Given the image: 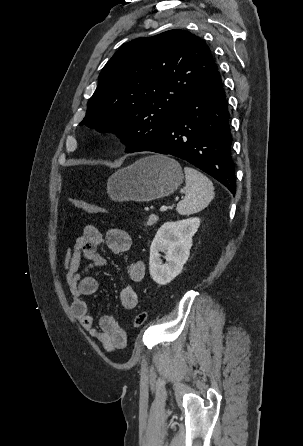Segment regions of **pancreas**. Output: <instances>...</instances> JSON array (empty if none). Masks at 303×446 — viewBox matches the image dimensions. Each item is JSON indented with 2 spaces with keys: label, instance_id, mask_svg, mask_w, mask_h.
Instances as JSON below:
<instances>
[{
  "label": "pancreas",
  "instance_id": "cf45deb5",
  "mask_svg": "<svg viewBox=\"0 0 303 446\" xmlns=\"http://www.w3.org/2000/svg\"><path fill=\"white\" fill-rule=\"evenodd\" d=\"M158 220V217L156 216H149L148 221H147V226H152L154 225Z\"/></svg>",
  "mask_w": 303,
  "mask_h": 446
}]
</instances>
